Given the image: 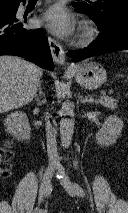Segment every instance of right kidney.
Masks as SVG:
<instances>
[{
  "instance_id": "ca27d5eb",
  "label": "right kidney",
  "mask_w": 128,
  "mask_h": 213,
  "mask_svg": "<svg viewBox=\"0 0 128 213\" xmlns=\"http://www.w3.org/2000/svg\"><path fill=\"white\" fill-rule=\"evenodd\" d=\"M4 125L6 131L18 140L30 139V125L27 115L24 112L17 111L7 116Z\"/></svg>"
}]
</instances>
